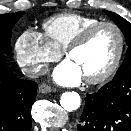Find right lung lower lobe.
<instances>
[{"label":"right lung lower lobe","mask_w":131,"mask_h":131,"mask_svg":"<svg viewBox=\"0 0 131 131\" xmlns=\"http://www.w3.org/2000/svg\"><path fill=\"white\" fill-rule=\"evenodd\" d=\"M37 83L9 74L5 55L0 53V131H30L31 107Z\"/></svg>","instance_id":"1"}]
</instances>
